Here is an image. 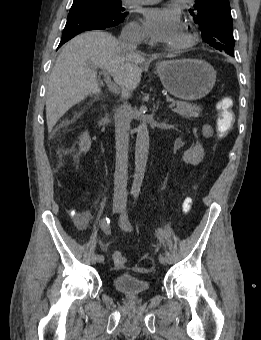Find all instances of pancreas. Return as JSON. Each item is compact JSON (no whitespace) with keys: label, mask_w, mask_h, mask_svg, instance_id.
I'll use <instances>...</instances> for the list:
<instances>
[{"label":"pancreas","mask_w":261,"mask_h":340,"mask_svg":"<svg viewBox=\"0 0 261 340\" xmlns=\"http://www.w3.org/2000/svg\"><path fill=\"white\" fill-rule=\"evenodd\" d=\"M170 101L176 105L172 111L185 118H197L202 111L201 107L195 104L172 99Z\"/></svg>","instance_id":"pancreas-1"}]
</instances>
